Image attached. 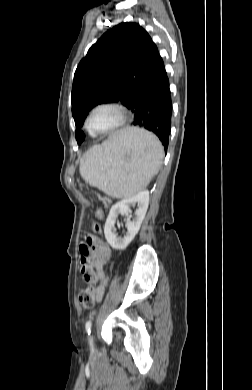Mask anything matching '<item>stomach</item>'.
<instances>
[{"instance_id":"0dacf381","label":"stomach","mask_w":252,"mask_h":390,"mask_svg":"<svg viewBox=\"0 0 252 390\" xmlns=\"http://www.w3.org/2000/svg\"><path fill=\"white\" fill-rule=\"evenodd\" d=\"M127 159H128V160H130V159H131V157H130L129 155H127Z\"/></svg>"}]
</instances>
